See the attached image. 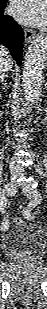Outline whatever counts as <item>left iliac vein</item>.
<instances>
[{"mask_svg":"<svg viewBox=\"0 0 47 309\" xmlns=\"http://www.w3.org/2000/svg\"><path fill=\"white\" fill-rule=\"evenodd\" d=\"M23 193L27 196V198L30 200L29 208H35L38 204H40L42 200L41 193L34 188H31L29 186L23 187Z\"/></svg>","mask_w":47,"mask_h":309,"instance_id":"4c4485c4","label":"left iliac vein"}]
</instances>
